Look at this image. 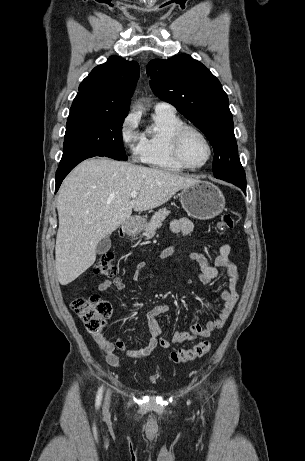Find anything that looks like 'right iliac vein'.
<instances>
[{
	"mask_svg": "<svg viewBox=\"0 0 305 461\" xmlns=\"http://www.w3.org/2000/svg\"><path fill=\"white\" fill-rule=\"evenodd\" d=\"M110 397H111V394H110V391H108L107 395H106V398H105V406L109 405Z\"/></svg>",
	"mask_w": 305,
	"mask_h": 461,
	"instance_id": "63e3f726",
	"label": "right iliac vein"
}]
</instances>
